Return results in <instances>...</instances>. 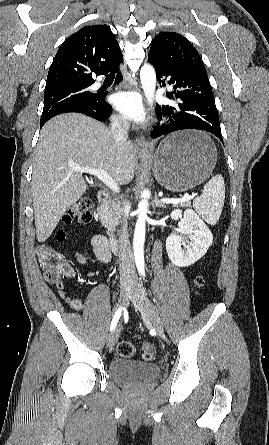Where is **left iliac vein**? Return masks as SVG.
Returning a JSON list of instances; mask_svg holds the SVG:
<instances>
[{
	"label": "left iliac vein",
	"instance_id": "4c4485c4",
	"mask_svg": "<svg viewBox=\"0 0 269 445\" xmlns=\"http://www.w3.org/2000/svg\"><path fill=\"white\" fill-rule=\"evenodd\" d=\"M131 301L141 312L146 325L153 327L160 337L164 336V328L161 318L153 303L145 296L142 285L135 289Z\"/></svg>",
	"mask_w": 269,
	"mask_h": 445
}]
</instances>
